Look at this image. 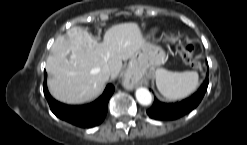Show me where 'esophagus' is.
Wrapping results in <instances>:
<instances>
[{
  "instance_id": "obj_1",
  "label": "esophagus",
  "mask_w": 247,
  "mask_h": 145,
  "mask_svg": "<svg viewBox=\"0 0 247 145\" xmlns=\"http://www.w3.org/2000/svg\"><path fill=\"white\" fill-rule=\"evenodd\" d=\"M135 85H136V81L132 77V73L131 72L126 73L123 79V86L126 89L131 90L135 87Z\"/></svg>"
}]
</instances>
